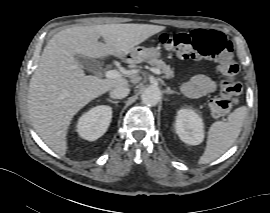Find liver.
Returning <instances> with one entry per match:
<instances>
[{"label": "liver", "mask_w": 270, "mask_h": 213, "mask_svg": "<svg viewBox=\"0 0 270 213\" xmlns=\"http://www.w3.org/2000/svg\"><path fill=\"white\" fill-rule=\"evenodd\" d=\"M150 24L75 26L56 33L45 46L29 85L28 107L40 138L57 154L67 151V130L85 105L118 86L125 78L86 76L76 55L88 58L125 57L135 46L163 31ZM104 43L99 42V38Z\"/></svg>", "instance_id": "obj_1"}]
</instances>
